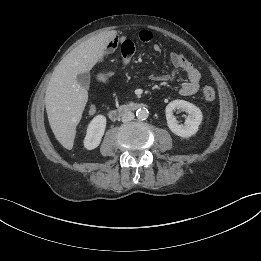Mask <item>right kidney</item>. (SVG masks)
<instances>
[{"mask_svg": "<svg viewBox=\"0 0 261 261\" xmlns=\"http://www.w3.org/2000/svg\"><path fill=\"white\" fill-rule=\"evenodd\" d=\"M106 128V117L104 115L95 116L88 124L84 147L88 150L99 146Z\"/></svg>", "mask_w": 261, "mask_h": 261, "instance_id": "obj_1", "label": "right kidney"}]
</instances>
